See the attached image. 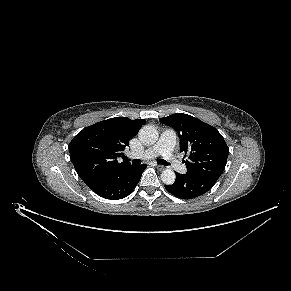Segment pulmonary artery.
I'll list each match as a JSON object with an SVG mask.
<instances>
[{
	"label": "pulmonary artery",
	"instance_id": "pulmonary-artery-1",
	"mask_svg": "<svg viewBox=\"0 0 291 291\" xmlns=\"http://www.w3.org/2000/svg\"><path fill=\"white\" fill-rule=\"evenodd\" d=\"M176 141V133L173 130L167 129L162 132L157 143L142 152L140 157L143 159H151L157 156H163L176 171L185 172L186 167L174 155Z\"/></svg>",
	"mask_w": 291,
	"mask_h": 291
}]
</instances>
